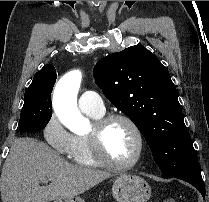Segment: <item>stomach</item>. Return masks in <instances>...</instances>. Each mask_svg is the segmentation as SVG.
Here are the masks:
<instances>
[{"instance_id": "0dacf381", "label": "stomach", "mask_w": 209, "mask_h": 202, "mask_svg": "<svg viewBox=\"0 0 209 202\" xmlns=\"http://www.w3.org/2000/svg\"><path fill=\"white\" fill-rule=\"evenodd\" d=\"M112 194L117 202H147L151 196L148 183L137 175L122 174L112 186ZM55 202H84L80 197L61 198Z\"/></svg>"}]
</instances>
